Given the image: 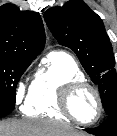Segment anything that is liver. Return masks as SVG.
Returning <instances> with one entry per match:
<instances>
[{
	"label": "liver",
	"instance_id": "liver-1",
	"mask_svg": "<svg viewBox=\"0 0 117 136\" xmlns=\"http://www.w3.org/2000/svg\"><path fill=\"white\" fill-rule=\"evenodd\" d=\"M0 136H88L82 131L49 120H6L0 122Z\"/></svg>",
	"mask_w": 117,
	"mask_h": 136
}]
</instances>
